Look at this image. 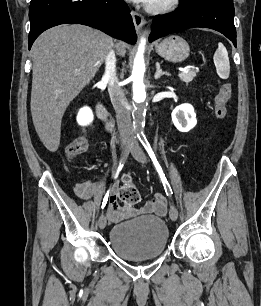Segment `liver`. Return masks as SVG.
Wrapping results in <instances>:
<instances>
[{"instance_id": "6515ba94", "label": "liver", "mask_w": 261, "mask_h": 306, "mask_svg": "<svg viewBox=\"0 0 261 306\" xmlns=\"http://www.w3.org/2000/svg\"><path fill=\"white\" fill-rule=\"evenodd\" d=\"M113 40L91 27L59 25L34 42L30 109L35 130L50 152L60 144L61 120L70 102L97 73ZM121 56L126 47L117 43Z\"/></svg>"}]
</instances>
